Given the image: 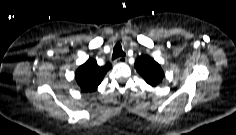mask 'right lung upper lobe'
I'll return each mask as SVG.
<instances>
[{
  "mask_svg": "<svg viewBox=\"0 0 236 135\" xmlns=\"http://www.w3.org/2000/svg\"><path fill=\"white\" fill-rule=\"evenodd\" d=\"M111 67L110 63L98 66L96 60L89 58L84 64L79 66L75 79L83 92H91L98 87Z\"/></svg>",
  "mask_w": 236,
  "mask_h": 135,
  "instance_id": "cb5924a9",
  "label": "right lung upper lobe"
}]
</instances>
